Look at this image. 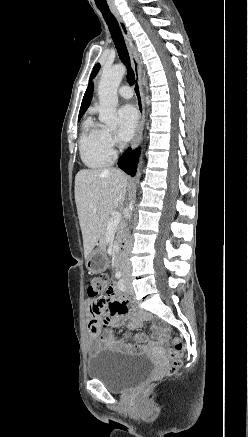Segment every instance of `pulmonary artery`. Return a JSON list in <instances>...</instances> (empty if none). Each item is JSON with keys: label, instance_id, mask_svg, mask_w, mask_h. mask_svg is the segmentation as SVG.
I'll return each instance as SVG.
<instances>
[{"label": "pulmonary artery", "instance_id": "e3ab8cb5", "mask_svg": "<svg viewBox=\"0 0 248 437\" xmlns=\"http://www.w3.org/2000/svg\"><path fill=\"white\" fill-rule=\"evenodd\" d=\"M118 94L125 99H130L133 95L131 88L127 85L121 86L118 90Z\"/></svg>", "mask_w": 248, "mask_h": 437}]
</instances>
